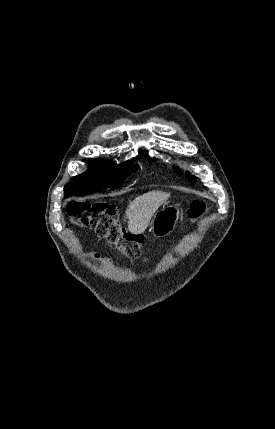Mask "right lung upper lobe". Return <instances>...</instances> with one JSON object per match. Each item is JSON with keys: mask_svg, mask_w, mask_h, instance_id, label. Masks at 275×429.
Segmentation results:
<instances>
[{"mask_svg": "<svg viewBox=\"0 0 275 429\" xmlns=\"http://www.w3.org/2000/svg\"><path fill=\"white\" fill-rule=\"evenodd\" d=\"M90 165L100 166V167H108L112 164L109 160L103 159H91L88 162Z\"/></svg>", "mask_w": 275, "mask_h": 429, "instance_id": "right-lung-upper-lobe-1", "label": "right lung upper lobe"}]
</instances>
